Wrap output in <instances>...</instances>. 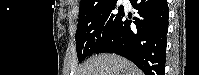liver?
I'll list each match as a JSON object with an SVG mask.
<instances>
[{"mask_svg":"<svg viewBox=\"0 0 199 75\" xmlns=\"http://www.w3.org/2000/svg\"><path fill=\"white\" fill-rule=\"evenodd\" d=\"M76 75H143L130 61L115 54H100L88 59Z\"/></svg>","mask_w":199,"mask_h":75,"instance_id":"liver-1","label":"liver"}]
</instances>
